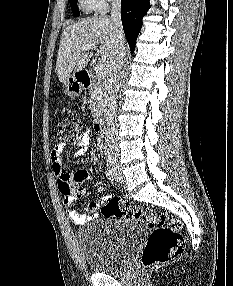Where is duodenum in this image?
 <instances>
[{"label": "duodenum", "instance_id": "obj_1", "mask_svg": "<svg viewBox=\"0 0 233 286\" xmlns=\"http://www.w3.org/2000/svg\"><path fill=\"white\" fill-rule=\"evenodd\" d=\"M77 82L84 88H88L92 83V75L88 71H81L76 76ZM96 131L101 135L104 136L106 133V126L103 119H98L95 124Z\"/></svg>", "mask_w": 233, "mask_h": 286}]
</instances>
